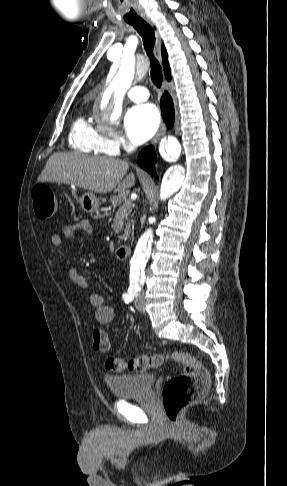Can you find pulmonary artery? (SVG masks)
Masks as SVG:
<instances>
[{
    "label": "pulmonary artery",
    "instance_id": "1",
    "mask_svg": "<svg viewBox=\"0 0 287 486\" xmlns=\"http://www.w3.org/2000/svg\"><path fill=\"white\" fill-rule=\"evenodd\" d=\"M127 97L134 102H142L148 99L149 93L145 87L134 86L127 91Z\"/></svg>",
    "mask_w": 287,
    "mask_h": 486
}]
</instances>
